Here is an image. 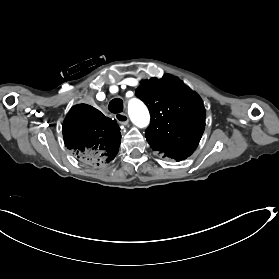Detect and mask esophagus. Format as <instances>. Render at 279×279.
<instances>
[{
  "label": "esophagus",
  "mask_w": 279,
  "mask_h": 279,
  "mask_svg": "<svg viewBox=\"0 0 279 279\" xmlns=\"http://www.w3.org/2000/svg\"><path fill=\"white\" fill-rule=\"evenodd\" d=\"M115 118L120 124L127 125L129 123V117L126 113H117Z\"/></svg>",
  "instance_id": "1"
}]
</instances>
